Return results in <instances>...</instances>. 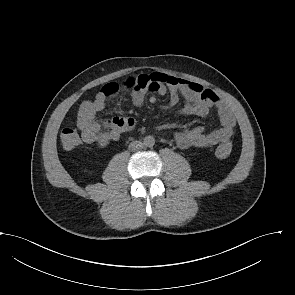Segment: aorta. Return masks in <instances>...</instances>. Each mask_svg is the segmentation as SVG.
<instances>
[{
  "instance_id": "aorta-1",
  "label": "aorta",
  "mask_w": 295,
  "mask_h": 295,
  "mask_svg": "<svg viewBox=\"0 0 295 295\" xmlns=\"http://www.w3.org/2000/svg\"><path fill=\"white\" fill-rule=\"evenodd\" d=\"M155 144V139L153 136H146L143 141V145L146 147H152Z\"/></svg>"
}]
</instances>
